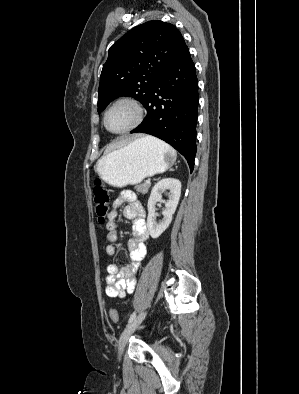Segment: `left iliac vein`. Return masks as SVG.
I'll return each mask as SVG.
<instances>
[{
	"instance_id": "4c4485c4",
	"label": "left iliac vein",
	"mask_w": 299,
	"mask_h": 394,
	"mask_svg": "<svg viewBox=\"0 0 299 394\" xmlns=\"http://www.w3.org/2000/svg\"><path fill=\"white\" fill-rule=\"evenodd\" d=\"M146 316V312L140 313L137 317H135L124 329L120 336L119 344H118V356L120 357L124 351L125 345L130 338V336L135 332L138 326L142 323Z\"/></svg>"
}]
</instances>
